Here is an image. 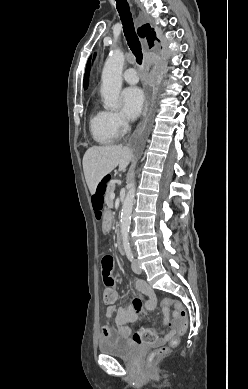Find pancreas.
I'll return each mask as SVG.
<instances>
[{
	"label": "pancreas",
	"mask_w": 248,
	"mask_h": 389,
	"mask_svg": "<svg viewBox=\"0 0 248 389\" xmlns=\"http://www.w3.org/2000/svg\"><path fill=\"white\" fill-rule=\"evenodd\" d=\"M115 190V183L110 182L107 187L106 196H105V203L108 206V208H111L113 205V200L111 199V194Z\"/></svg>",
	"instance_id": "cf45deb5"
}]
</instances>
